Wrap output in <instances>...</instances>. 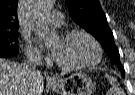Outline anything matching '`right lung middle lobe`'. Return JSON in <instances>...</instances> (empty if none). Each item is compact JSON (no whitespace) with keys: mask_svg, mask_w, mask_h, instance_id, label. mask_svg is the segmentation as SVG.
Segmentation results:
<instances>
[{"mask_svg":"<svg viewBox=\"0 0 135 95\" xmlns=\"http://www.w3.org/2000/svg\"><path fill=\"white\" fill-rule=\"evenodd\" d=\"M17 40V30L0 31V52L19 50Z\"/></svg>","mask_w":135,"mask_h":95,"instance_id":"1","label":"right lung middle lobe"}]
</instances>
